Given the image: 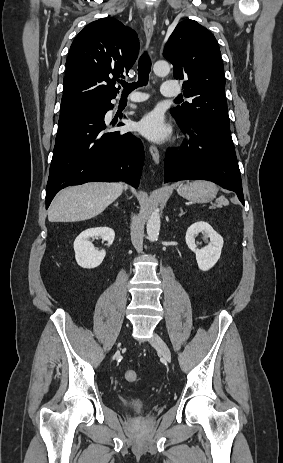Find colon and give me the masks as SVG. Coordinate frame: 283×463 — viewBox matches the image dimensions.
<instances>
[{
  "mask_svg": "<svg viewBox=\"0 0 283 463\" xmlns=\"http://www.w3.org/2000/svg\"><path fill=\"white\" fill-rule=\"evenodd\" d=\"M124 377L126 381L130 383H135L138 381V373L135 370H126L124 373Z\"/></svg>",
  "mask_w": 283,
  "mask_h": 463,
  "instance_id": "5ec220e1",
  "label": "colon"
}]
</instances>
